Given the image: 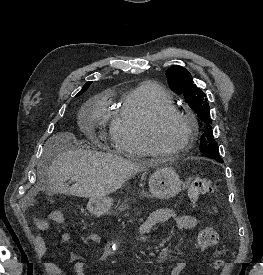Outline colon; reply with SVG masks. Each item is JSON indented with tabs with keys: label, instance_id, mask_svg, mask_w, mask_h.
I'll return each instance as SVG.
<instances>
[{
	"label": "colon",
	"instance_id": "obj_1",
	"mask_svg": "<svg viewBox=\"0 0 263 275\" xmlns=\"http://www.w3.org/2000/svg\"><path fill=\"white\" fill-rule=\"evenodd\" d=\"M214 193L213 183L206 178H195L189 187V201L193 207L197 206L200 199L204 196ZM51 220L56 223H61L64 220V215L61 212H53L50 216ZM218 240L217 233L212 229L202 230L197 237V245L202 249H207L216 244ZM224 265V260L216 259L210 263L214 269H219Z\"/></svg>",
	"mask_w": 263,
	"mask_h": 275
}]
</instances>
